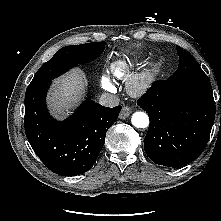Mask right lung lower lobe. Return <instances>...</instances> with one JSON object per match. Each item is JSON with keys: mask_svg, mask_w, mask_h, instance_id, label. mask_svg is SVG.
Segmentation results:
<instances>
[{"mask_svg": "<svg viewBox=\"0 0 221 221\" xmlns=\"http://www.w3.org/2000/svg\"><path fill=\"white\" fill-rule=\"evenodd\" d=\"M50 84L51 81H46L29 85L26 90V136L47 168L62 176H76L95 163L121 106L108 108L86 99L72 116L56 121L45 103Z\"/></svg>", "mask_w": 221, "mask_h": 221, "instance_id": "1", "label": "right lung lower lobe"}]
</instances>
